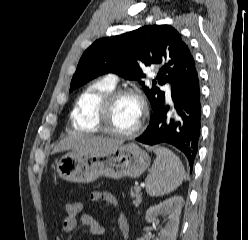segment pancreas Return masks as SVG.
<instances>
[{
    "mask_svg": "<svg viewBox=\"0 0 248 240\" xmlns=\"http://www.w3.org/2000/svg\"><path fill=\"white\" fill-rule=\"evenodd\" d=\"M140 190L141 189L138 186H135L134 187V190H131V197L134 198L133 204L135 206H138L141 203V201H142V197H141L142 195L140 193Z\"/></svg>",
    "mask_w": 248,
    "mask_h": 240,
    "instance_id": "obj_1",
    "label": "pancreas"
}]
</instances>
